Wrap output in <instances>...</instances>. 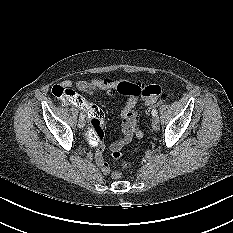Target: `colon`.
Instances as JSON below:
<instances>
[{
  "instance_id": "5ec220e1",
  "label": "colon",
  "mask_w": 233,
  "mask_h": 233,
  "mask_svg": "<svg viewBox=\"0 0 233 233\" xmlns=\"http://www.w3.org/2000/svg\"><path fill=\"white\" fill-rule=\"evenodd\" d=\"M53 94L61 98L60 105L63 108H68L70 106L77 108L78 110L87 114L90 117V127H85L83 129V137L86 143L91 147H98L103 139V126H104V114L97 106L92 105L91 102L87 101L84 97H81L78 93H75L74 90L56 85L52 89ZM144 93L147 96H156L157 99L160 96L161 101L166 100L167 96L162 93V90L157 85L148 86L144 89ZM156 102L151 103L148 106V111ZM112 156L116 159L121 157V152L116 151L112 153ZM124 166L128 167L129 164L124 162ZM114 178H119L120 174L114 172Z\"/></svg>"
}]
</instances>
